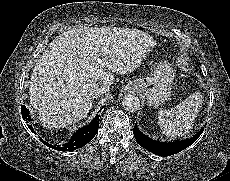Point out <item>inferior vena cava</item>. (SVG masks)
Returning a JSON list of instances; mask_svg holds the SVG:
<instances>
[{"label":"inferior vena cava","instance_id":"1","mask_svg":"<svg viewBox=\"0 0 230 181\" xmlns=\"http://www.w3.org/2000/svg\"><path fill=\"white\" fill-rule=\"evenodd\" d=\"M108 92H109V86H105V85H95L90 89V93L93 98L104 96Z\"/></svg>","mask_w":230,"mask_h":181}]
</instances>
